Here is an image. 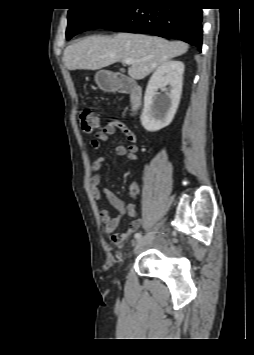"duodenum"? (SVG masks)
<instances>
[{
  "mask_svg": "<svg viewBox=\"0 0 254 355\" xmlns=\"http://www.w3.org/2000/svg\"><path fill=\"white\" fill-rule=\"evenodd\" d=\"M102 87L110 91L129 93L131 112L135 113L139 109L142 102V89L130 79L119 75L116 78L105 80L102 83Z\"/></svg>",
  "mask_w": 254,
  "mask_h": 355,
  "instance_id": "410a0bca",
  "label": "duodenum"
}]
</instances>
